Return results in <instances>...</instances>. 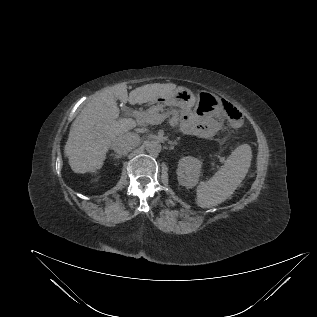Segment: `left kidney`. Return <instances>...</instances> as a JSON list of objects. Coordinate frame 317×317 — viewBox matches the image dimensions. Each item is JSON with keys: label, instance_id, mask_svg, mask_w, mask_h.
Listing matches in <instances>:
<instances>
[{"label": "left kidney", "instance_id": "left-kidney-1", "mask_svg": "<svg viewBox=\"0 0 317 317\" xmlns=\"http://www.w3.org/2000/svg\"><path fill=\"white\" fill-rule=\"evenodd\" d=\"M202 161L192 156L183 157L178 162L177 175L180 185L186 188L196 186L201 174Z\"/></svg>", "mask_w": 317, "mask_h": 317}]
</instances>
